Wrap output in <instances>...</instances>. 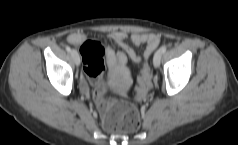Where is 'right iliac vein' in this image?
<instances>
[{"label": "right iliac vein", "instance_id": "obj_1", "mask_svg": "<svg viewBox=\"0 0 238 145\" xmlns=\"http://www.w3.org/2000/svg\"><path fill=\"white\" fill-rule=\"evenodd\" d=\"M75 64L78 66L80 64V55L77 50H72L71 52Z\"/></svg>", "mask_w": 238, "mask_h": 145}]
</instances>
